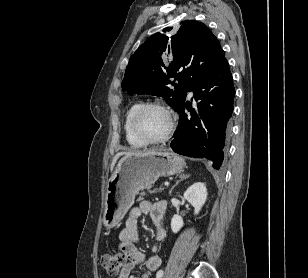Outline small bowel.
Instances as JSON below:
<instances>
[{"instance_id": "obj_1", "label": "small bowel", "mask_w": 308, "mask_h": 278, "mask_svg": "<svg viewBox=\"0 0 308 278\" xmlns=\"http://www.w3.org/2000/svg\"><path fill=\"white\" fill-rule=\"evenodd\" d=\"M165 210V201L154 203L143 201L139 206L129 210L125 227L119 233V249L129 259V262L123 267L118 278H139L133 275V271L140 264H144L146 267V272L141 278H148L149 273L159 269L161 258L158 254V245L165 237V230L162 226ZM142 215H149L156 229L155 243L151 248L149 256L143 254L136 246V242L140 240L138 219Z\"/></svg>"}]
</instances>
